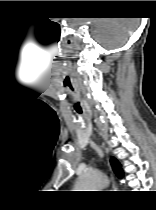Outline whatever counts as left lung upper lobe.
I'll list each match as a JSON object with an SVG mask.
<instances>
[{
  "label": "left lung upper lobe",
  "instance_id": "left-lung-upper-lobe-1",
  "mask_svg": "<svg viewBox=\"0 0 156 210\" xmlns=\"http://www.w3.org/2000/svg\"><path fill=\"white\" fill-rule=\"evenodd\" d=\"M110 162H111V165H112L113 170H114V172L116 173V175H117L119 178H122V176H123V171L121 170V165H120V163H119L115 158H112Z\"/></svg>",
  "mask_w": 156,
  "mask_h": 210
}]
</instances>
